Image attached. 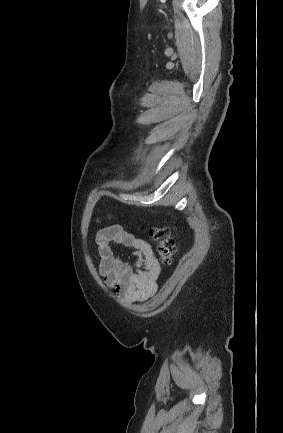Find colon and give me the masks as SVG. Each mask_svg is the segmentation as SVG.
<instances>
[{"instance_id": "5ec220e1", "label": "colon", "mask_w": 283, "mask_h": 433, "mask_svg": "<svg viewBox=\"0 0 283 433\" xmlns=\"http://www.w3.org/2000/svg\"><path fill=\"white\" fill-rule=\"evenodd\" d=\"M149 234L157 245L161 261L166 265L171 264L176 254V243L172 237L170 228L156 226L150 229Z\"/></svg>"}]
</instances>
